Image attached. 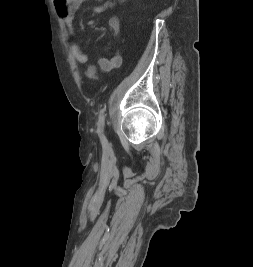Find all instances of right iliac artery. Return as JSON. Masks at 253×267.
Wrapping results in <instances>:
<instances>
[{"label":"right iliac artery","instance_id":"82829eb1","mask_svg":"<svg viewBox=\"0 0 253 267\" xmlns=\"http://www.w3.org/2000/svg\"><path fill=\"white\" fill-rule=\"evenodd\" d=\"M104 120H105V114L102 112V114L99 117L98 123H97V133L99 135L100 141L104 147L107 146V139L104 135Z\"/></svg>","mask_w":253,"mask_h":267}]
</instances>
